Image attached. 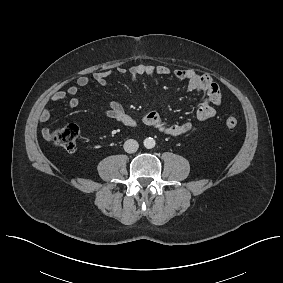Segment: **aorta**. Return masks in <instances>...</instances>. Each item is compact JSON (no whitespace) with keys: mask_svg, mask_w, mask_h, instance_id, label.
<instances>
[{"mask_svg":"<svg viewBox=\"0 0 283 283\" xmlns=\"http://www.w3.org/2000/svg\"><path fill=\"white\" fill-rule=\"evenodd\" d=\"M155 140L153 138H146L144 140V146L148 149L154 148L155 147Z\"/></svg>","mask_w":283,"mask_h":283,"instance_id":"1","label":"aorta"}]
</instances>
